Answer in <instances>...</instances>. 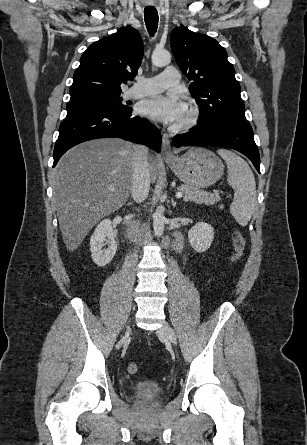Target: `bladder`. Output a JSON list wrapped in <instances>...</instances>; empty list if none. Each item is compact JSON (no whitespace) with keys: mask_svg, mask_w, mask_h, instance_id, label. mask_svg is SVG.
I'll return each mask as SVG.
<instances>
[{"mask_svg":"<svg viewBox=\"0 0 307 445\" xmlns=\"http://www.w3.org/2000/svg\"><path fill=\"white\" fill-rule=\"evenodd\" d=\"M132 391L138 398L152 399L159 397L163 392V388L155 380H143L135 384Z\"/></svg>","mask_w":307,"mask_h":445,"instance_id":"bladder-1","label":"bladder"}]
</instances>
